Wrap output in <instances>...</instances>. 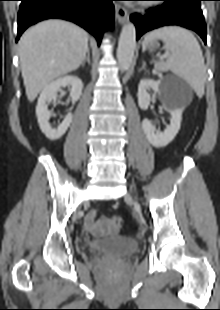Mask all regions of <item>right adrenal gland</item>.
Returning <instances> with one entry per match:
<instances>
[{"instance_id": "obj_1", "label": "right adrenal gland", "mask_w": 220, "mask_h": 310, "mask_svg": "<svg viewBox=\"0 0 220 310\" xmlns=\"http://www.w3.org/2000/svg\"><path fill=\"white\" fill-rule=\"evenodd\" d=\"M86 61L88 62L89 65L91 64V62H90V51L89 50L87 51V55L84 58V60L82 61L81 65L84 66Z\"/></svg>"}]
</instances>
